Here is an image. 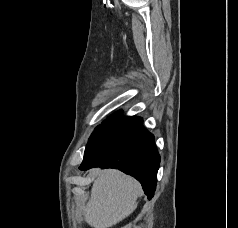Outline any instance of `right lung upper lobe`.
Wrapping results in <instances>:
<instances>
[{
	"label": "right lung upper lobe",
	"instance_id": "cb5924a9",
	"mask_svg": "<svg viewBox=\"0 0 238 228\" xmlns=\"http://www.w3.org/2000/svg\"><path fill=\"white\" fill-rule=\"evenodd\" d=\"M113 116H118V117H121V113H120V112H118V113H116V114H114V115H112V116H110V117H113Z\"/></svg>",
	"mask_w": 238,
	"mask_h": 228
}]
</instances>
